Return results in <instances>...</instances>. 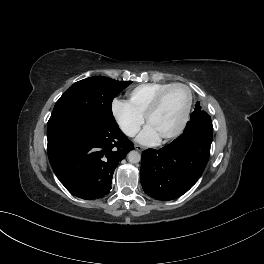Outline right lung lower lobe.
Listing matches in <instances>:
<instances>
[{
  "mask_svg": "<svg viewBox=\"0 0 264 264\" xmlns=\"http://www.w3.org/2000/svg\"><path fill=\"white\" fill-rule=\"evenodd\" d=\"M47 137L48 158L56 176L82 199L108 194L115 168L134 148L116 122L78 121Z\"/></svg>",
  "mask_w": 264,
  "mask_h": 264,
  "instance_id": "98d812e1",
  "label": "right lung lower lobe"
}]
</instances>
